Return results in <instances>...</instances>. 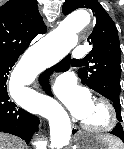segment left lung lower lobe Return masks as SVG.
Instances as JSON below:
<instances>
[{
	"label": "left lung lower lobe",
	"mask_w": 124,
	"mask_h": 149,
	"mask_svg": "<svg viewBox=\"0 0 124 149\" xmlns=\"http://www.w3.org/2000/svg\"><path fill=\"white\" fill-rule=\"evenodd\" d=\"M69 60H70V56L68 55L67 57H65L61 62H59L57 65L53 66L52 68L46 70L45 72H43L40 76V83L42 84L44 90L46 91V93L48 95H52L50 88L48 86V77L49 75L54 71H60V72H64L66 70H68L69 68ZM74 133V130H73ZM111 134L117 136L118 138H120L123 143H124V132H123V127L120 123H117L115 128L113 129V131L111 132Z\"/></svg>",
	"instance_id": "obj_1"
}]
</instances>
